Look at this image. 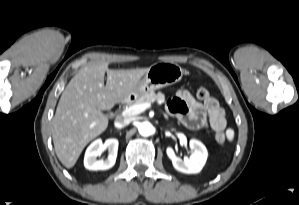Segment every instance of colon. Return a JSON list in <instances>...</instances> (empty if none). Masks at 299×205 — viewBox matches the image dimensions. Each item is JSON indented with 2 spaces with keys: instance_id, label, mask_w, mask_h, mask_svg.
Masks as SVG:
<instances>
[{
  "instance_id": "colon-1",
  "label": "colon",
  "mask_w": 299,
  "mask_h": 205,
  "mask_svg": "<svg viewBox=\"0 0 299 205\" xmlns=\"http://www.w3.org/2000/svg\"><path fill=\"white\" fill-rule=\"evenodd\" d=\"M209 96V93L207 91V89L200 87L197 90V97L200 99H205ZM215 140L219 143V144H224L226 142V135L223 131H219L215 134Z\"/></svg>"
}]
</instances>
